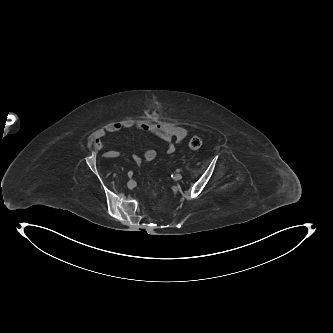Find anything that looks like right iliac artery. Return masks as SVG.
Wrapping results in <instances>:
<instances>
[{"instance_id": "obj_1", "label": "right iliac artery", "mask_w": 333, "mask_h": 333, "mask_svg": "<svg viewBox=\"0 0 333 333\" xmlns=\"http://www.w3.org/2000/svg\"><path fill=\"white\" fill-rule=\"evenodd\" d=\"M128 176H129V177H132V176H133V172H132V171H129V172H128Z\"/></svg>"}]
</instances>
